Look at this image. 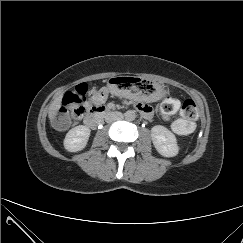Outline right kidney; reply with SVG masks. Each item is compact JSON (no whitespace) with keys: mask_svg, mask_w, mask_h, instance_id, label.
<instances>
[{"mask_svg":"<svg viewBox=\"0 0 243 243\" xmlns=\"http://www.w3.org/2000/svg\"><path fill=\"white\" fill-rule=\"evenodd\" d=\"M91 130L84 126L79 125L66 134L64 139V148L69 152L81 151L87 145Z\"/></svg>","mask_w":243,"mask_h":243,"instance_id":"right-kidney-1","label":"right kidney"}]
</instances>
